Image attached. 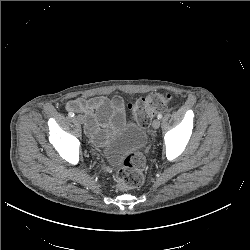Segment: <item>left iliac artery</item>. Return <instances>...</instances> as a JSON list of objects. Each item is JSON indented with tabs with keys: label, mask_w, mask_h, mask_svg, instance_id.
Listing matches in <instances>:
<instances>
[{
	"label": "left iliac artery",
	"mask_w": 250,
	"mask_h": 250,
	"mask_svg": "<svg viewBox=\"0 0 250 250\" xmlns=\"http://www.w3.org/2000/svg\"><path fill=\"white\" fill-rule=\"evenodd\" d=\"M162 117H163L162 114H158V115H157V118H158V119H161Z\"/></svg>",
	"instance_id": "44dca946"
}]
</instances>
